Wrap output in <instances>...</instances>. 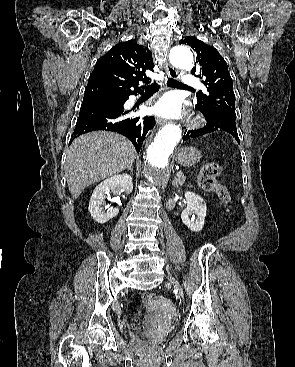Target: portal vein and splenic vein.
<instances>
[{"instance_id":"obj_1","label":"portal vein and splenic vein","mask_w":295,"mask_h":367,"mask_svg":"<svg viewBox=\"0 0 295 367\" xmlns=\"http://www.w3.org/2000/svg\"><path fill=\"white\" fill-rule=\"evenodd\" d=\"M176 175L179 177V176H181V175H182V172H181V171H179V172H177V173H176Z\"/></svg>"}]
</instances>
